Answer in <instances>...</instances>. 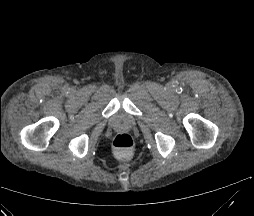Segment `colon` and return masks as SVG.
I'll return each instance as SVG.
<instances>
[{
  "label": "colon",
  "mask_w": 254,
  "mask_h": 216,
  "mask_svg": "<svg viewBox=\"0 0 254 216\" xmlns=\"http://www.w3.org/2000/svg\"><path fill=\"white\" fill-rule=\"evenodd\" d=\"M114 148L120 156H127L133 148V140L127 133H120L114 140Z\"/></svg>",
  "instance_id": "5ec220e1"
}]
</instances>
